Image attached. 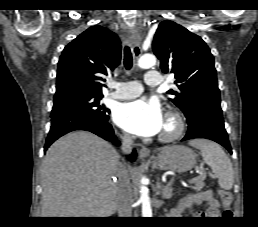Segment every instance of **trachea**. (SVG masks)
<instances>
[{
    "instance_id": "obj_1",
    "label": "trachea",
    "mask_w": 258,
    "mask_h": 227,
    "mask_svg": "<svg viewBox=\"0 0 258 227\" xmlns=\"http://www.w3.org/2000/svg\"><path fill=\"white\" fill-rule=\"evenodd\" d=\"M133 65V58L131 50L128 46H125L124 48V66L126 70H130Z\"/></svg>"
}]
</instances>
